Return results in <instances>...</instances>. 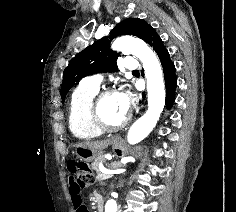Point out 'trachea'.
Segmentation results:
<instances>
[{"instance_id": "3493384b", "label": "trachea", "mask_w": 236, "mask_h": 212, "mask_svg": "<svg viewBox=\"0 0 236 212\" xmlns=\"http://www.w3.org/2000/svg\"><path fill=\"white\" fill-rule=\"evenodd\" d=\"M139 71L138 70H135V71H133L132 73H138Z\"/></svg>"}]
</instances>
